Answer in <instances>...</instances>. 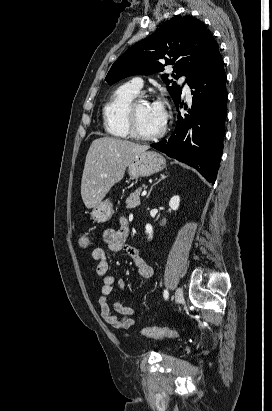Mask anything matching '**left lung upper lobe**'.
Wrapping results in <instances>:
<instances>
[{"instance_id":"left-lung-upper-lobe-1","label":"left lung upper lobe","mask_w":272,"mask_h":411,"mask_svg":"<svg viewBox=\"0 0 272 411\" xmlns=\"http://www.w3.org/2000/svg\"><path fill=\"white\" fill-rule=\"evenodd\" d=\"M218 52V44L203 23L191 16H178L164 23L156 32L136 43L112 65L105 81L112 85L128 76L149 75L174 68L172 76L182 75L190 84ZM174 103L181 99L182 89L167 74L161 76Z\"/></svg>"}]
</instances>
